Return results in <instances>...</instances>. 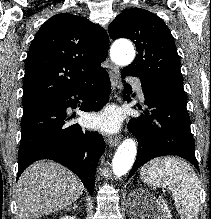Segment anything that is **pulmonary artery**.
<instances>
[{"label": "pulmonary artery", "instance_id": "obj_1", "mask_svg": "<svg viewBox=\"0 0 211 219\" xmlns=\"http://www.w3.org/2000/svg\"><path fill=\"white\" fill-rule=\"evenodd\" d=\"M130 82L133 83L135 89L137 90L139 98L142 101H144V94H143L141 82L138 79H130Z\"/></svg>", "mask_w": 211, "mask_h": 219}]
</instances>
